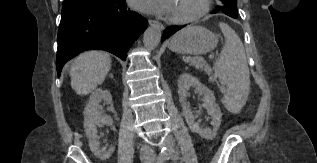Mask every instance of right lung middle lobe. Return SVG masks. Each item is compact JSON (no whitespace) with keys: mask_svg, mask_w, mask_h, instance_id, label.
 <instances>
[{"mask_svg":"<svg viewBox=\"0 0 317 163\" xmlns=\"http://www.w3.org/2000/svg\"><path fill=\"white\" fill-rule=\"evenodd\" d=\"M106 1H109V0H67L63 2L62 13L75 11L95 3L106 2Z\"/></svg>","mask_w":317,"mask_h":163,"instance_id":"obj_1","label":"right lung middle lobe"}]
</instances>
